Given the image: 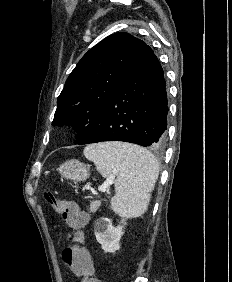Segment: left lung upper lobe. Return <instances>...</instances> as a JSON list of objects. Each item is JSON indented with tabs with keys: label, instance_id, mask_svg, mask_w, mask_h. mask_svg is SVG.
<instances>
[{
	"label": "left lung upper lobe",
	"instance_id": "obj_1",
	"mask_svg": "<svg viewBox=\"0 0 232 282\" xmlns=\"http://www.w3.org/2000/svg\"><path fill=\"white\" fill-rule=\"evenodd\" d=\"M146 43L114 33L91 48L66 80L57 99L53 125L74 126L80 139L98 124L115 92L135 68Z\"/></svg>",
	"mask_w": 232,
	"mask_h": 282
}]
</instances>
